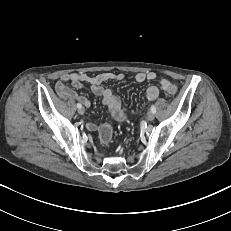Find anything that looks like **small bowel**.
Here are the masks:
<instances>
[{
    "label": "small bowel",
    "instance_id": "obj_1",
    "mask_svg": "<svg viewBox=\"0 0 231 231\" xmlns=\"http://www.w3.org/2000/svg\"><path fill=\"white\" fill-rule=\"evenodd\" d=\"M124 74L115 72H104L95 76H89L86 73H68L61 76L56 83L57 94L66 99H76L86 107L90 106V101L82 95H78L74 90L69 88L66 84L69 83L72 88L81 89L84 84L90 85L91 91L102 98V102L109 109L111 116L118 122L126 121L127 117L122 108L120 99L114 94V92L105 88L103 84L108 81H121L124 79ZM137 83L145 81H153L157 79V75L154 72L137 73L134 77ZM171 83L168 79H160L161 88L165 91V85ZM159 96V88L155 85H151L146 90V98L148 100H154ZM86 127L90 131L97 130V125L94 123H87Z\"/></svg>",
    "mask_w": 231,
    "mask_h": 231
}]
</instances>
